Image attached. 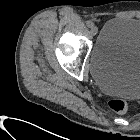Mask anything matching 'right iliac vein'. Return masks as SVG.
<instances>
[{
	"label": "right iliac vein",
	"mask_w": 140,
	"mask_h": 140,
	"mask_svg": "<svg viewBox=\"0 0 140 140\" xmlns=\"http://www.w3.org/2000/svg\"><path fill=\"white\" fill-rule=\"evenodd\" d=\"M97 32H98V28L96 26H92L91 27V33H92V35L95 36L97 34Z\"/></svg>",
	"instance_id": "1"
}]
</instances>
